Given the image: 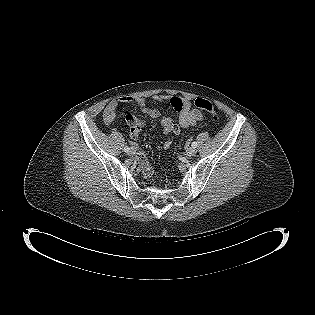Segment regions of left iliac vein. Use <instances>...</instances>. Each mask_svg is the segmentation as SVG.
Wrapping results in <instances>:
<instances>
[{
    "label": "left iliac vein",
    "mask_w": 315,
    "mask_h": 315,
    "mask_svg": "<svg viewBox=\"0 0 315 315\" xmlns=\"http://www.w3.org/2000/svg\"><path fill=\"white\" fill-rule=\"evenodd\" d=\"M196 154V149L193 147H190L186 150V156L187 157H192Z\"/></svg>",
    "instance_id": "4c4485c4"
}]
</instances>
